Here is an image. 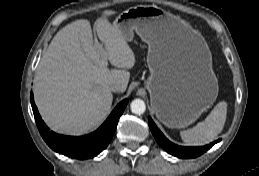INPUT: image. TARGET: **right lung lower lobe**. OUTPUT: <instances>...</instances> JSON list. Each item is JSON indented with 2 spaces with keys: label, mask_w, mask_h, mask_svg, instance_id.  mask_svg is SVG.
Returning <instances> with one entry per match:
<instances>
[{
  "label": "right lung lower lobe",
  "mask_w": 259,
  "mask_h": 176,
  "mask_svg": "<svg viewBox=\"0 0 259 176\" xmlns=\"http://www.w3.org/2000/svg\"><path fill=\"white\" fill-rule=\"evenodd\" d=\"M30 98L37 127L45 142L54 151L75 159L92 158L107 147L116 130L118 120L128 103L126 99L120 102L108 119L95 132L81 137H72L49 131L40 117L33 93H31Z\"/></svg>",
  "instance_id": "right-lung-lower-lobe-1"
}]
</instances>
